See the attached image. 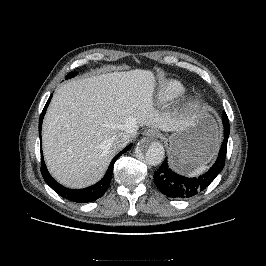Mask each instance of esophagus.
Segmentation results:
<instances>
[{
    "instance_id": "1",
    "label": "esophagus",
    "mask_w": 266,
    "mask_h": 266,
    "mask_svg": "<svg viewBox=\"0 0 266 266\" xmlns=\"http://www.w3.org/2000/svg\"><path fill=\"white\" fill-rule=\"evenodd\" d=\"M143 135L149 138H155V137H159L161 134L159 130L152 128V129L145 130L143 132Z\"/></svg>"
}]
</instances>
